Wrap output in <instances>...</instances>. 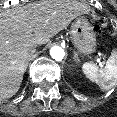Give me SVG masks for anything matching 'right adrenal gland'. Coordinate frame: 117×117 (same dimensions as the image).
I'll return each mask as SVG.
<instances>
[{
  "instance_id": "right-adrenal-gland-1",
  "label": "right adrenal gland",
  "mask_w": 117,
  "mask_h": 117,
  "mask_svg": "<svg viewBox=\"0 0 117 117\" xmlns=\"http://www.w3.org/2000/svg\"><path fill=\"white\" fill-rule=\"evenodd\" d=\"M30 55L28 56V58H27V61H26V64H25V67H24V70H26L27 69V66H28V63H29V61H30Z\"/></svg>"
}]
</instances>
